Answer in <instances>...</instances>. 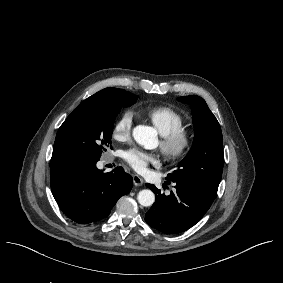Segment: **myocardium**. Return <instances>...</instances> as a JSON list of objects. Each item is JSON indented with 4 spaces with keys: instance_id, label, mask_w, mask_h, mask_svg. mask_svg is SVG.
Returning <instances> with one entry per match:
<instances>
[{
    "instance_id": "f54148a6",
    "label": "myocardium",
    "mask_w": 283,
    "mask_h": 283,
    "mask_svg": "<svg viewBox=\"0 0 283 283\" xmlns=\"http://www.w3.org/2000/svg\"><path fill=\"white\" fill-rule=\"evenodd\" d=\"M193 144L192 130L182 126L162 137L160 149L168 161L179 162L188 156Z\"/></svg>"
}]
</instances>
